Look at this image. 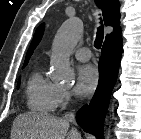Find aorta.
Instances as JSON below:
<instances>
[{
	"label": "aorta",
	"mask_w": 141,
	"mask_h": 139,
	"mask_svg": "<svg viewBox=\"0 0 141 139\" xmlns=\"http://www.w3.org/2000/svg\"><path fill=\"white\" fill-rule=\"evenodd\" d=\"M83 34V23L79 18L66 20L57 31L51 55V65L56 81L70 82L74 73L70 68V55Z\"/></svg>",
	"instance_id": "1"
}]
</instances>
